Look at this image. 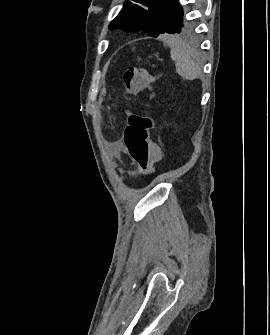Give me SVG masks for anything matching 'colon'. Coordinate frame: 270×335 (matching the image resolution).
I'll list each match as a JSON object with an SVG mask.
<instances>
[{
    "label": "colon",
    "mask_w": 270,
    "mask_h": 335,
    "mask_svg": "<svg viewBox=\"0 0 270 335\" xmlns=\"http://www.w3.org/2000/svg\"><path fill=\"white\" fill-rule=\"evenodd\" d=\"M151 76L144 67H130L123 73L125 89L134 95L145 91L151 82ZM160 118V113H155ZM153 117L144 113L133 112L129 115L124 128L123 140L130 157L136 162L141 175L151 171L154 163H162V149L156 148L157 142L149 140V132L155 127Z\"/></svg>",
    "instance_id": "colon-1"
}]
</instances>
